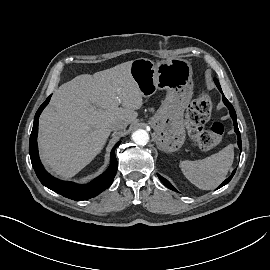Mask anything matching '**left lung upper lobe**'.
Segmentation results:
<instances>
[{
	"mask_svg": "<svg viewBox=\"0 0 270 270\" xmlns=\"http://www.w3.org/2000/svg\"><path fill=\"white\" fill-rule=\"evenodd\" d=\"M214 81H215V83H216V85H217L218 89H221V87H220V84H219L218 80L215 78V79H214Z\"/></svg>",
	"mask_w": 270,
	"mask_h": 270,
	"instance_id": "1",
	"label": "left lung upper lobe"
}]
</instances>
